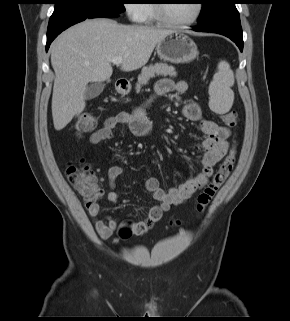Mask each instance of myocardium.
<instances>
[{"label":"myocardium","instance_id":"myocardium-1","mask_svg":"<svg viewBox=\"0 0 290 321\" xmlns=\"http://www.w3.org/2000/svg\"><path fill=\"white\" fill-rule=\"evenodd\" d=\"M166 1L167 0H154V3H153V9L155 12V16H156L157 20L164 26H168V27L190 26V25L194 24L199 19L200 15L202 13L203 5L199 0H197L196 1V10H195V13L191 19L186 20V21H181V22L173 21L166 16V13H165Z\"/></svg>","mask_w":290,"mask_h":321}]
</instances>
